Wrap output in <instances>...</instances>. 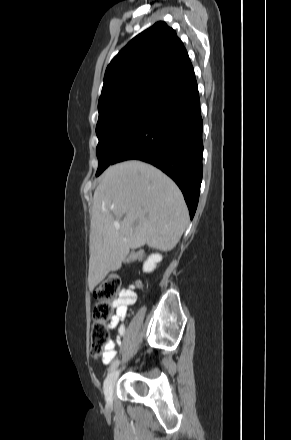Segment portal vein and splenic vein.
<instances>
[{"label": "portal vein and splenic vein", "instance_id": "portal-vein-and-splenic-vein-1", "mask_svg": "<svg viewBox=\"0 0 291 440\" xmlns=\"http://www.w3.org/2000/svg\"><path fill=\"white\" fill-rule=\"evenodd\" d=\"M116 227L119 228L120 226L118 224H116Z\"/></svg>", "mask_w": 291, "mask_h": 440}]
</instances>
